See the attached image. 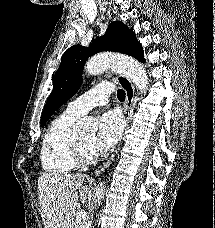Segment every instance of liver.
<instances>
[{"mask_svg":"<svg viewBox=\"0 0 215 228\" xmlns=\"http://www.w3.org/2000/svg\"><path fill=\"white\" fill-rule=\"evenodd\" d=\"M81 174H43L38 180V202L45 228H74L73 216L76 212L78 198L85 202L89 188L78 196L77 190L83 186Z\"/></svg>","mask_w":215,"mask_h":228,"instance_id":"liver-1","label":"liver"}]
</instances>
